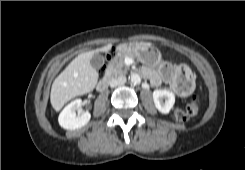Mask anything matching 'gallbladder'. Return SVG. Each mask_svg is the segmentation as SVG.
Returning a JSON list of instances; mask_svg holds the SVG:
<instances>
[{"mask_svg": "<svg viewBox=\"0 0 245 170\" xmlns=\"http://www.w3.org/2000/svg\"><path fill=\"white\" fill-rule=\"evenodd\" d=\"M104 62V57L99 53L94 54L90 60L91 66L96 70H99L104 65Z\"/></svg>", "mask_w": 245, "mask_h": 170, "instance_id": "1", "label": "gallbladder"}]
</instances>
